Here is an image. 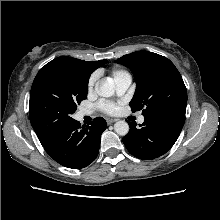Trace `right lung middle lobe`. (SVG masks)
Wrapping results in <instances>:
<instances>
[{
  "label": "right lung middle lobe",
  "instance_id": "right-lung-middle-lobe-1",
  "mask_svg": "<svg viewBox=\"0 0 220 220\" xmlns=\"http://www.w3.org/2000/svg\"><path fill=\"white\" fill-rule=\"evenodd\" d=\"M89 77L64 68H42L29 101V117L39 139H48L74 121L72 114L87 97Z\"/></svg>",
  "mask_w": 220,
  "mask_h": 220
}]
</instances>
